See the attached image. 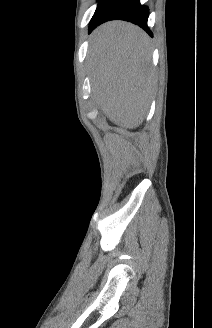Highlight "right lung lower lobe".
I'll return each instance as SVG.
<instances>
[{
	"mask_svg": "<svg viewBox=\"0 0 212 328\" xmlns=\"http://www.w3.org/2000/svg\"><path fill=\"white\" fill-rule=\"evenodd\" d=\"M149 9L140 0H99L97 9L90 21L89 33L98 25L109 20H125L134 23L152 36L147 26Z\"/></svg>",
	"mask_w": 212,
	"mask_h": 328,
	"instance_id": "1",
	"label": "right lung lower lobe"
}]
</instances>
